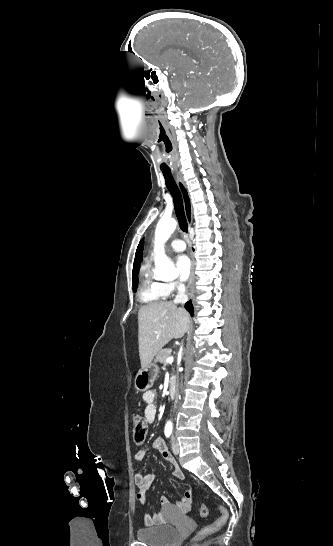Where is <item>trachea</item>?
Returning <instances> with one entry per match:
<instances>
[{
  "label": "trachea",
  "instance_id": "3493384b",
  "mask_svg": "<svg viewBox=\"0 0 333 546\" xmlns=\"http://www.w3.org/2000/svg\"><path fill=\"white\" fill-rule=\"evenodd\" d=\"M166 186L173 197L175 214L179 222L180 229L183 232H188V223L184 212L183 199L181 192L172 176L169 172H163Z\"/></svg>",
  "mask_w": 333,
  "mask_h": 546
}]
</instances>
